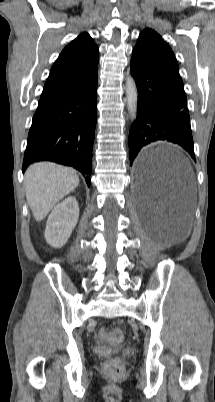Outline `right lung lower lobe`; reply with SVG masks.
Wrapping results in <instances>:
<instances>
[{
  "mask_svg": "<svg viewBox=\"0 0 215 402\" xmlns=\"http://www.w3.org/2000/svg\"><path fill=\"white\" fill-rule=\"evenodd\" d=\"M97 78L38 106L28 135L23 172L33 162L53 161L79 170L90 186Z\"/></svg>",
  "mask_w": 215,
  "mask_h": 402,
  "instance_id": "1",
  "label": "right lung lower lobe"
}]
</instances>
